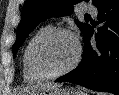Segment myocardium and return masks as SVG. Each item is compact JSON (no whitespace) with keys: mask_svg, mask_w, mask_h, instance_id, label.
<instances>
[{"mask_svg":"<svg viewBox=\"0 0 119 95\" xmlns=\"http://www.w3.org/2000/svg\"><path fill=\"white\" fill-rule=\"evenodd\" d=\"M59 34L69 35L74 39L76 43V55L74 60L66 68L57 72H48L42 67V65L39 62V53L42 46L48 40H50L51 38ZM81 58H82V46L80 44V41L78 40V38L74 35L72 31L63 27L52 28L49 31L42 34L34 43L31 50V55H30V61H31V65L33 69L35 70L37 74H39L45 79H55V78L68 74L69 72L73 71L78 66V64L81 61Z\"/></svg>","mask_w":119,"mask_h":95,"instance_id":"myocardium-1","label":"myocardium"}]
</instances>
